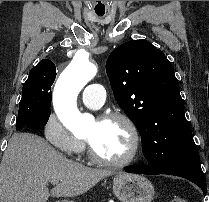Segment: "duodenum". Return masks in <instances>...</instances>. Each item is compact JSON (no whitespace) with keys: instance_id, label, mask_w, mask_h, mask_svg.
Wrapping results in <instances>:
<instances>
[{"instance_id":"1","label":"duodenum","mask_w":209,"mask_h":202,"mask_svg":"<svg viewBox=\"0 0 209 202\" xmlns=\"http://www.w3.org/2000/svg\"><path fill=\"white\" fill-rule=\"evenodd\" d=\"M58 202H66V201H58Z\"/></svg>"}]
</instances>
